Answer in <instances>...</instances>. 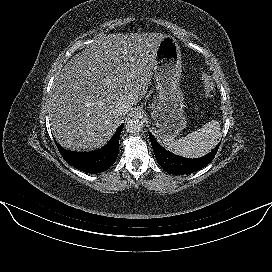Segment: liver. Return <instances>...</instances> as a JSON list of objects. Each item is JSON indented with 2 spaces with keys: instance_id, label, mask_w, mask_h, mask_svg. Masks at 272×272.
Instances as JSON below:
<instances>
[{
  "instance_id": "liver-1",
  "label": "liver",
  "mask_w": 272,
  "mask_h": 272,
  "mask_svg": "<svg viewBox=\"0 0 272 272\" xmlns=\"http://www.w3.org/2000/svg\"><path fill=\"white\" fill-rule=\"evenodd\" d=\"M165 37L99 34L67 62L49 101L51 127L62 147L93 150L111 138L125 115L115 112L116 105L131 109L145 96Z\"/></svg>"
}]
</instances>
